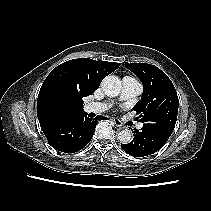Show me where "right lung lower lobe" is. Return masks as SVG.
<instances>
[{
    "label": "right lung lower lobe",
    "mask_w": 211,
    "mask_h": 211,
    "mask_svg": "<svg viewBox=\"0 0 211 211\" xmlns=\"http://www.w3.org/2000/svg\"><path fill=\"white\" fill-rule=\"evenodd\" d=\"M98 116L89 119L85 112H67L54 117L41 127L48 143L64 153H74L84 148L92 139Z\"/></svg>",
    "instance_id": "right-lung-lower-lobe-1"
}]
</instances>
